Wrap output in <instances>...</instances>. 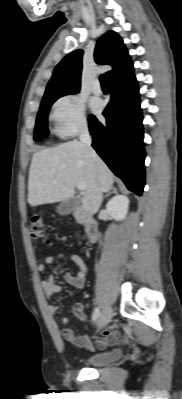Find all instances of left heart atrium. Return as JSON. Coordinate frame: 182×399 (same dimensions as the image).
Wrapping results in <instances>:
<instances>
[{"mask_svg": "<svg viewBox=\"0 0 182 399\" xmlns=\"http://www.w3.org/2000/svg\"><path fill=\"white\" fill-rule=\"evenodd\" d=\"M91 107L93 111L98 112L101 110V103L98 100H95L91 103Z\"/></svg>", "mask_w": 182, "mask_h": 399, "instance_id": "left-heart-atrium-1", "label": "left heart atrium"}]
</instances>
